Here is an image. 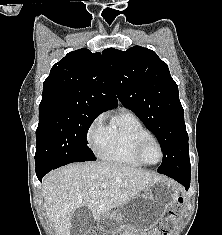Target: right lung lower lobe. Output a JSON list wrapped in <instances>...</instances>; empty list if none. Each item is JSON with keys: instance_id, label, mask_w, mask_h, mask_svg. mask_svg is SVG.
<instances>
[{"instance_id": "obj_1", "label": "right lung lower lobe", "mask_w": 222, "mask_h": 235, "mask_svg": "<svg viewBox=\"0 0 222 235\" xmlns=\"http://www.w3.org/2000/svg\"><path fill=\"white\" fill-rule=\"evenodd\" d=\"M56 169V168H51V169H47V170H43L40 172H36V175L38 177V179L42 182V178L45 174H47L48 172H50L51 170Z\"/></svg>"}]
</instances>
